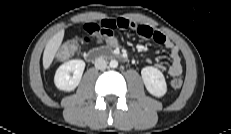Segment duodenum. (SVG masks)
<instances>
[{
    "mask_svg": "<svg viewBox=\"0 0 231 134\" xmlns=\"http://www.w3.org/2000/svg\"><path fill=\"white\" fill-rule=\"evenodd\" d=\"M121 57H122V55L120 53L114 52L108 48L92 49L86 55V59L88 61H91V62H94V61L102 59V58L118 59Z\"/></svg>",
    "mask_w": 231,
    "mask_h": 134,
    "instance_id": "obj_1",
    "label": "duodenum"
}]
</instances>
